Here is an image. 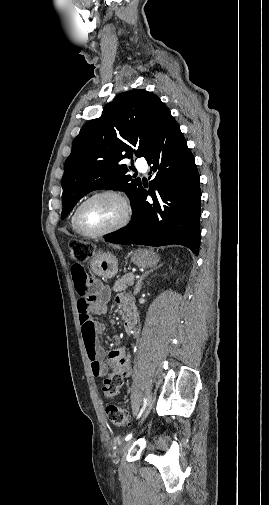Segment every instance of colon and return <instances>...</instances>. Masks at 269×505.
I'll return each instance as SVG.
<instances>
[{"instance_id": "5ec220e1", "label": "colon", "mask_w": 269, "mask_h": 505, "mask_svg": "<svg viewBox=\"0 0 269 505\" xmlns=\"http://www.w3.org/2000/svg\"><path fill=\"white\" fill-rule=\"evenodd\" d=\"M92 255V250L88 245L81 243L71 244V258L74 262L83 263ZM81 268L82 265H80ZM89 281V280H88ZM96 298H98L95 295ZM122 385V379L116 374H110L103 379L102 390L107 397H114ZM106 416L111 424L116 428H125L129 425V414L120 406L109 403L106 406Z\"/></svg>"}]
</instances>
